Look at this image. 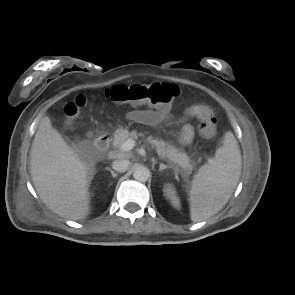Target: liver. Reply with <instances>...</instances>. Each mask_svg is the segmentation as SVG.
I'll use <instances>...</instances> for the list:
<instances>
[{
  "label": "liver",
  "instance_id": "6515ba94",
  "mask_svg": "<svg viewBox=\"0 0 295 295\" xmlns=\"http://www.w3.org/2000/svg\"><path fill=\"white\" fill-rule=\"evenodd\" d=\"M94 165L66 143L48 116L41 119L30 149V172L39 197L50 210L70 220L86 218Z\"/></svg>",
  "mask_w": 295,
  "mask_h": 295
}]
</instances>
